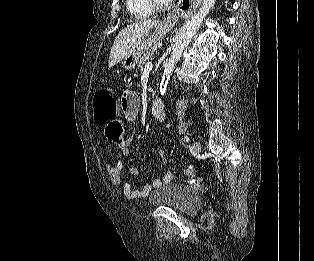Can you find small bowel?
Instances as JSON below:
<instances>
[{"label":"small bowel","mask_w":314,"mask_h":261,"mask_svg":"<svg viewBox=\"0 0 314 261\" xmlns=\"http://www.w3.org/2000/svg\"><path fill=\"white\" fill-rule=\"evenodd\" d=\"M140 108V100L137 92L132 88H126L123 91L120 109L128 119H133L138 114ZM124 120H105L103 125V140L110 148H119L123 156L130 153V145L134 139V134L125 138ZM161 162L165 164L166 160L163 151L159 152ZM111 181L121 187L123 195L128 199H137L147 196L153 188H158L169 183L173 174L170 170H166L161 177L155 178L151 183H145L141 189H135L132 183L126 178L124 173V163L119 160L107 167ZM128 173L132 176H139L142 173L140 167L131 166Z\"/></svg>","instance_id":"small-bowel-1"}]
</instances>
